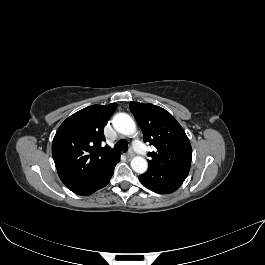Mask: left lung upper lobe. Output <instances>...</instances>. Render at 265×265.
Instances as JSON below:
<instances>
[{
  "label": "left lung upper lobe",
  "mask_w": 265,
  "mask_h": 265,
  "mask_svg": "<svg viewBox=\"0 0 265 265\" xmlns=\"http://www.w3.org/2000/svg\"><path fill=\"white\" fill-rule=\"evenodd\" d=\"M143 132L144 142L156 150L149 152L148 169L162 171H189L192 148L185 131L165 109L138 102L129 103Z\"/></svg>",
  "instance_id": "5c2ea615"
}]
</instances>
